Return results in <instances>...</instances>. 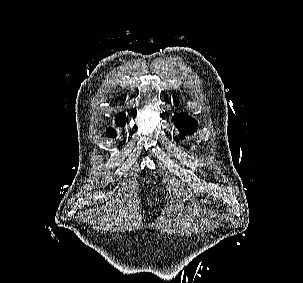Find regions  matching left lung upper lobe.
<instances>
[{
	"mask_svg": "<svg viewBox=\"0 0 303 283\" xmlns=\"http://www.w3.org/2000/svg\"><path fill=\"white\" fill-rule=\"evenodd\" d=\"M175 125L180 130V136L183 138L185 135H189L195 132L197 128V122L188 117L186 114H176L173 117Z\"/></svg>",
	"mask_w": 303,
	"mask_h": 283,
	"instance_id": "5c2ea615",
	"label": "left lung upper lobe"
}]
</instances>
